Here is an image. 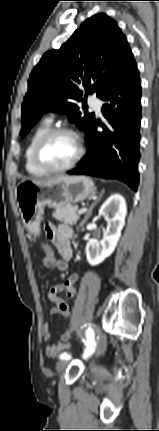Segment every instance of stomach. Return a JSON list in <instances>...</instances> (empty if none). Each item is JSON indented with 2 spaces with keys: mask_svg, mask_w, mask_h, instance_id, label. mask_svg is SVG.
I'll return each instance as SVG.
<instances>
[{
  "mask_svg": "<svg viewBox=\"0 0 159 431\" xmlns=\"http://www.w3.org/2000/svg\"><path fill=\"white\" fill-rule=\"evenodd\" d=\"M93 181L86 176H59L42 183L21 181L16 198L24 226L30 234L40 235V223L46 205L60 208L84 201L95 194Z\"/></svg>",
  "mask_w": 159,
  "mask_h": 431,
  "instance_id": "1",
  "label": "stomach"
}]
</instances>
